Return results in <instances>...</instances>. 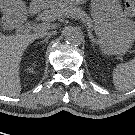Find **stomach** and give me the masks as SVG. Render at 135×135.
Instances as JSON below:
<instances>
[{
	"mask_svg": "<svg viewBox=\"0 0 135 135\" xmlns=\"http://www.w3.org/2000/svg\"><path fill=\"white\" fill-rule=\"evenodd\" d=\"M12 1L16 14L25 10L20 2ZM91 16L104 54L121 55L131 47L135 41V22L123 13L118 0H91Z\"/></svg>",
	"mask_w": 135,
	"mask_h": 135,
	"instance_id": "0dacf381",
	"label": "stomach"
}]
</instances>
